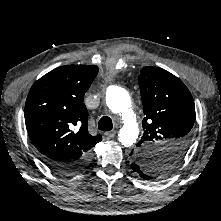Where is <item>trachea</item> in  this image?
<instances>
[{
    "label": "trachea",
    "instance_id": "3493384b",
    "mask_svg": "<svg viewBox=\"0 0 221 221\" xmlns=\"http://www.w3.org/2000/svg\"><path fill=\"white\" fill-rule=\"evenodd\" d=\"M113 128V123L110 117L103 116L98 122V129L101 131H110Z\"/></svg>",
    "mask_w": 221,
    "mask_h": 221
}]
</instances>
